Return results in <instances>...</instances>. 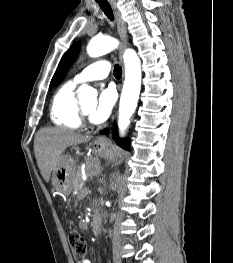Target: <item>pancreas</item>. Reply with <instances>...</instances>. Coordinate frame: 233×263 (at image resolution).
Returning <instances> with one entry per match:
<instances>
[{
  "instance_id": "1",
  "label": "pancreas",
  "mask_w": 233,
  "mask_h": 263,
  "mask_svg": "<svg viewBox=\"0 0 233 263\" xmlns=\"http://www.w3.org/2000/svg\"><path fill=\"white\" fill-rule=\"evenodd\" d=\"M84 180L82 179V174L80 171L77 172L75 177L73 178V186L74 190L78 192L77 198H81L82 196H85L87 193V189H81L82 186L84 185Z\"/></svg>"
}]
</instances>
